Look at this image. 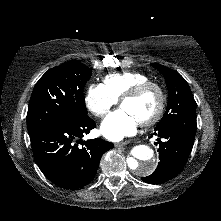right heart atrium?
<instances>
[{
  "mask_svg": "<svg viewBox=\"0 0 221 221\" xmlns=\"http://www.w3.org/2000/svg\"><path fill=\"white\" fill-rule=\"evenodd\" d=\"M117 102L103 84H91L86 91V106L96 117L103 118Z\"/></svg>",
  "mask_w": 221,
  "mask_h": 221,
  "instance_id": "1",
  "label": "right heart atrium"
}]
</instances>
